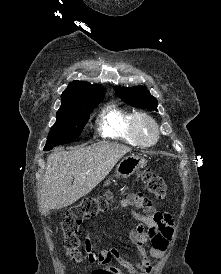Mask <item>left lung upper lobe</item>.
I'll return each mask as SVG.
<instances>
[{
	"mask_svg": "<svg viewBox=\"0 0 221 274\" xmlns=\"http://www.w3.org/2000/svg\"><path fill=\"white\" fill-rule=\"evenodd\" d=\"M114 89L117 96L125 103L149 111H157V99L149 93L145 86L131 88H119L116 86Z\"/></svg>",
	"mask_w": 221,
	"mask_h": 274,
	"instance_id": "obj_1",
	"label": "left lung upper lobe"
}]
</instances>
